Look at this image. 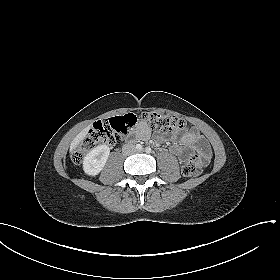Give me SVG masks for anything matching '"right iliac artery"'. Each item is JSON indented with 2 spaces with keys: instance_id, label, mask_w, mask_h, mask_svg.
Wrapping results in <instances>:
<instances>
[{
  "instance_id": "82829eb1",
  "label": "right iliac artery",
  "mask_w": 280,
  "mask_h": 280,
  "mask_svg": "<svg viewBox=\"0 0 280 280\" xmlns=\"http://www.w3.org/2000/svg\"><path fill=\"white\" fill-rule=\"evenodd\" d=\"M136 148H137L138 150H142V145H141V144H137V145H136Z\"/></svg>"
}]
</instances>
